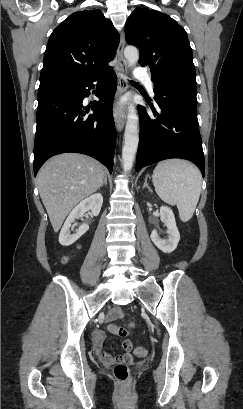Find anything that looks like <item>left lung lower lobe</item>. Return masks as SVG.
Wrapping results in <instances>:
<instances>
[{
	"label": "left lung lower lobe",
	"mask_w": 243,
	"mask_h": 409,
	"mask_svg": "<svg viewBox=\"0 0 243 409\" xmlns=\"http://www.w3.org/2000/svg\"><path fill=\"white\" fill-rule=\"evenodd\" d=\"M156 111L138 106L140 139L136 171L169 158L187 159L204 177V155L197 119L195 75H174L154 82Z\"/></svg>",
	"instance_id": "0a47b994"
}]
</instances>
